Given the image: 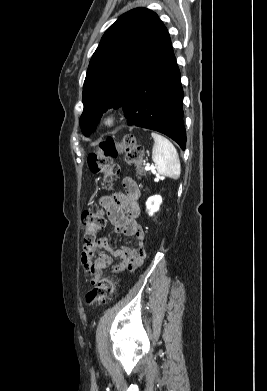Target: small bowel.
<instances>
[{
    "instance_id": "obj_1",
    "label": "small bowel",
    "mask_w": 267,
    "mask_h": 391,
    "mask_svg": "<svg viewBox=\"0 0 267 391\" xmlns=\"http://www.w3.org/2000/svg\"><path fill=\"white\" fill-rule=\"evenodd\" d=\"M122 186L124 193L104 196L101 203L106 208L114 232L131 237L133 247L124 245L114 250L106 237H101L91 246L84 247L81 261L93 285L102 279L105 268L112 267L113 273H121L127 269L133 271L140 267L146 258L145 233L137 222L140 215V190L137 183L129 177L123 180ZM113 258L119 260L115 265Z\"/></svg>"
}]
</instances>
